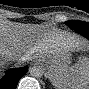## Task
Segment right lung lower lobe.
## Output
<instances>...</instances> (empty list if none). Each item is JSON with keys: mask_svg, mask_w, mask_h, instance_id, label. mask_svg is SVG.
I'll return each mask as SVG.
<instances>
[{"mask_svg": "<svg viewBox=\"0 0 89 89\" xmlns=\"http://www.w3.org/2000/svg\"><path fill=\"white\" fill-rule=\"evenodd\" d=\"M28 71V66L9 69L6 75L0 80V84L4 89H15L19 79L24 76Z\"/></svg>", "mask_w": 89, "mask_h": 89, "instance_id": "obj_1", "label": "right lung lower lobe"}]
</instances>
